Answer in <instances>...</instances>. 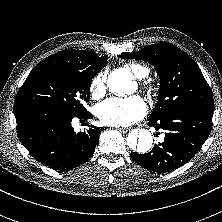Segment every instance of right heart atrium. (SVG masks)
<instances>
[{"label": "right heart atrium", "mask_w": 222, "mask_h": 222, "mask_svg": "<svg viewBox=\"0 0 222 222\" xmlns=\"http://www.w3.org/2000/svg\"><path fill=\"white\" fill-rule=\"evenodd\" d=\"M91 94L94 98H99L104 95L106 91V73L100 72L97 74L90 85Z\"/></svg>", "instance_id": "d8ad5b80"}]
</instances>
